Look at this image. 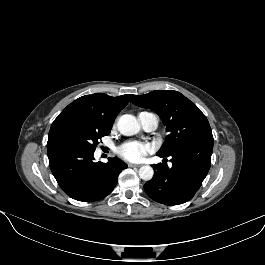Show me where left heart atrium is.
I'll return each instance as SVG.
<instances>
[{
  "label": "left heart atrium",
  "mask_w": 265,
  "mask_h": 265,
  "mask_svg": "<svg viewBox=\"0 0 265 265\" xmlns=\"http://www.w3.org/2000/svg\"><path fill=\"white\" fill-rule=\"evenodd\" d=\"M149 152L148 145L135 141L125 143L118 151L119 155L128 161H139Z\"/></svg>",
  "instance_id": "1"
}]
</instances>
